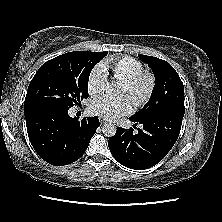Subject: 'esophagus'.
<instances>
[{"mask_svg":"<svg viewBox=\"0 0 222 222\" xmlns=\"http://www.w3.org/2000/svg\"><path fill=\"white\" fill-rule=\"evenodd\" d=\"M106 123H107V122H106L105 120H101V121H100V124H101V125H105Z\"/></svg>","mask_w":222,"mask_h":222,"instance_id":"esophagus-1","label":"esophagus"}]
</instances>
